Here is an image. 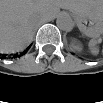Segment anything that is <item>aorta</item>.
<instances>
[{
    "label": "aorta",
    "instance_id": "obj_1",
    "mask_svg": "<svg viewBox=\"0 0 103 103\" xmlns=\"http://www.w3.org/2000/svg\"><path fill=\"white\" fill-rule=\"evenodd\" d=\"M56 25L60 30L70 31L73 28L74 22L69 14L61 13L57 17Z\"/></svg>",
    "mask_w": 103,
    "mask_h": 103
}]
</instances>
